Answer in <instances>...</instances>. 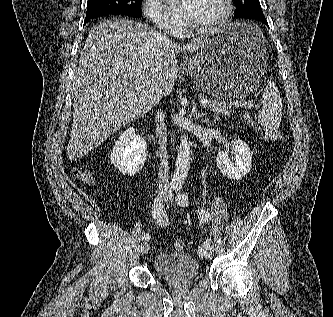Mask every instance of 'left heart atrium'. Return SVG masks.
<instances>
[{
  "label": "left heart atrium",
  "instance_id": "obj_1",
  "mask_svg": "<svg viewBox=\"0 0 333 317\" xmlns=\"http://www.w3.org/2000/svg\"><path fill=\"white\" fill-rule=\"evenodd\" d=\"M197 0H169L167 10L179 23L190 24L194 18Z\"/></svg>",
  "mask_w": 333,
  "mask_h": 317
}]
</instances>
